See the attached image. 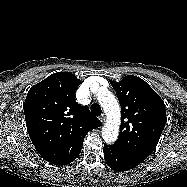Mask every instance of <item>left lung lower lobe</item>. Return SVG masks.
Returning a JSON list of instances; mask_svg holds the SVG:
<instances>
[{"label": "left lung lower lobe", "instance_id": "1", "mask_svg": "<svg viewBox=\"0 0 187 187\" xmlns=\"http://www.w3.org/2000/svg\"><path fill=\"white\" fill-rule=\"evenodd\" d=\"M103 151L107 165L116 172L128 171L141 164V161L123 154L112 145L104 144Z\"/></svg>", "mask_w": 187, "mask_h": 187}]
</instances>
